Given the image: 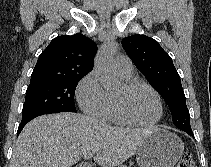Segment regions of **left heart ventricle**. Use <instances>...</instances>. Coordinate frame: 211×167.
Instances as JSON below:
<instances>
[{
	"instance_id": "left-heart-ventricle-1",
	"label": "left heart ventricle",
	"mask_w": 211,
	"mask_h": 167,
	"mask_svg": "<svg viewBox=\"0 0 211 167\" xmlns=\"http://www.w3.org/2000/svg\"><path fill=\"white\" fill-rule=\"evenodd\" d=\"M122 108L135 120L151 122L159 114V107L154 94L147 88L127 90L122 85L113 95Z\"/></svg>"
}]
</instances>
